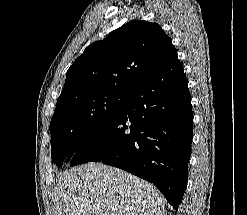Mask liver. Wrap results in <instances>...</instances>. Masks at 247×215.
I'll list each match as a JSON object with an SVG mask.
<instances>
[{
  "mask_svg": "<svg viewBox=\"0 0 247 215\" xmlns=\"http://www.w3.org/2000/svg\"><path fill=\"white\" fill-rule=\"evenodd\" d=\"M54 203L55 215H165L164 198L152 184L102 163L64 172Z\"/></svg>",
  "mask_w": 247,
  "mask_h": 215,
  "instance_id": "6515ba94",
  "label": "liver"
}]
</instances>
